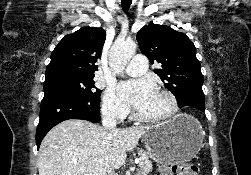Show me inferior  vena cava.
Listing matches in <instances>:
<instances>
[{
  "label": "inferior vena cava",
  "instance_id": "inferior-vena-cava-1",
  "mask_svg": "<svg viewBox=\"0 0 251 175\" xmlns=\"http://www.w3.org/2000/svg\"><path fill=\"white\" fill-rule=\"evenodd\" d=\"M102 125L105 129H109V131H118L116 127L117 119L115 117V109H109L108 113H104Z\"/></svg>",
  "mask_w": 251,
  "mask_h": 175
}]
</instances>
